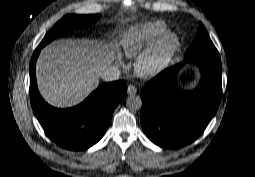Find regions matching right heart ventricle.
I'll return each mask as SVG.
<instances>
[{"mask_svg":"<svg viewBox=\"0 0 255 177\" xmlns=\"http://www.w3.org/2000/svg\"><path fill=\"white\" fill-rule=\"evenodd\" d=\"M166 32L162 22H148L129 28L121 39V45L127 58L139 57L157 38Z\"/></svg>","mask_w":255,"mask_h":177,"instance_id":"e07e8e85","label":"right heart ventricle"}]
</instances>
